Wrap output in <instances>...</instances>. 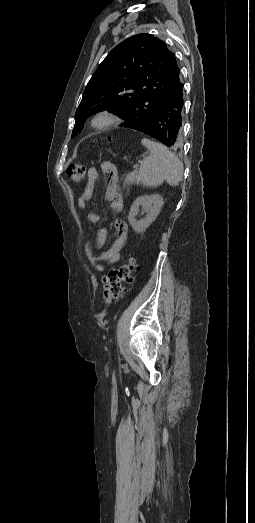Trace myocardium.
<instances>
[{"instance_id":"f54148a6","label":"myocardium","mask_w":255,"mask_h":523,"mask_svg":"<svg viewBox=\"0 0 255 523\" xmlns=\"http://www.w3.org/2000/svg\"><path fill=\"white\" fill-rule=\"evenodd\" d=\"M119 123V119L108 111H101L92 116L89 127L95 131L108 130Z\"/></svg>"}]
</instances>
